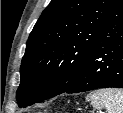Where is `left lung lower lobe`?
<instances>
[{"label":"left lung lower lobe","instance_id":"0a47b994","mask_svg":"<svg viewBox=\"0 0 123 113\" xmlns=\"http://www.w3.org/2000/svg\"><path fill=\"white\" fill-rule=\"evenodd\" d=\"M107 87L123 88V0L104 20L79 78L64 93Z\"/></svg>","mask_w":123,"mask_h":113}]
</instances>
